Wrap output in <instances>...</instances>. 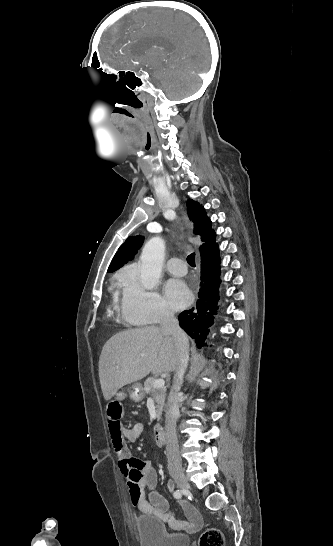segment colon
<instances>
[{"label":"colon","mask_w":333,"mask_h":546,"mask_svg":"<svg viewBox=\"0 0 333 546\" xmlns=\"http://www.w3.org/2000/svg\"><path fill=\"white\" fill-rule=\"evenodd\" d=\"M122 400L115 396L107 402L106 412L109 422H118L123 415ZM224 538L222 533L217 529H209L203 533L200 538V546H223Z\"/></svg>","instance_id":"colon-1"}]
</instances>
